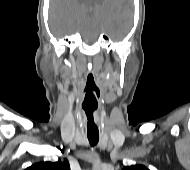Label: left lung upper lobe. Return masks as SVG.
<instances>
[{
	"label": "left lung upper lobe",
	"instance_id": "5c2ea615",
	"mask_svg": "<svg viewBox=\"0 0 190 170\" xmlns=\"http://www.w3.org/2000/svg\"><path fill=\"white\" fill-rule=\"evenodd\" d=\"M123 170H149V169L143 165H132L124 167Z\"/></svg>",
	"mask_w": 190,
	"mask_h": 170
}]
</instances>
